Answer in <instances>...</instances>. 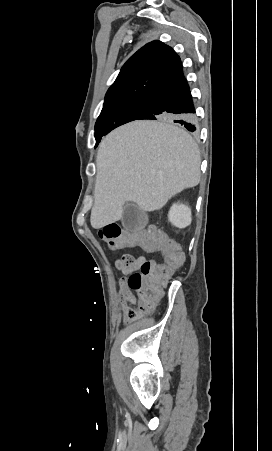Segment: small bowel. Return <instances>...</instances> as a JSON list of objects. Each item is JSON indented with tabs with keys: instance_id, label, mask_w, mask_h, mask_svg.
<instances>
[{
	"instance_id": "small-bowel-1",
	"label": "small bowel",
	"mask_w": 272,
	"mask_h": 451,
	"mask_svg": "<svg viewBox=\"0 0 272 451\" xmlns=\"http://www.w3.org/2000/svg\"><path fill=\"white\" fill-rule=\"evenodd\" d=\"M148 250V249H147ZM117 267V265H115ZM131 270H123L121 273L124 275L119 281L120 297L123 304V311H136L138 319L143 316L146 310L131 308L128 304H135L137 300H133L132 295H129L128 289L126 287V282L128 275H130Z\"/></svg>"
}]
</instances>
